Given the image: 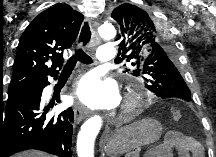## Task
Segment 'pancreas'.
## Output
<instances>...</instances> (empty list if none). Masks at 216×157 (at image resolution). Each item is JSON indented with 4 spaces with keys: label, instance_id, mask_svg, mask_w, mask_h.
I'll return each mask as SVG.
<instances>
[{
    "label": "pancreas",
    "instance_id": "1",
    "mask_svg": "<svg viewBox=\"0 0 216 157\" xmlns=\"http://www.w3.org/2000/svg\"><path fill=\"white\" fill-rule=\"evenodd\" d=\"M126 157H139V149L135 150L134 152L128 153Z\"/></svg>",
    "mask_w": 216,
    "mask_h": 157
}]
</instances>
